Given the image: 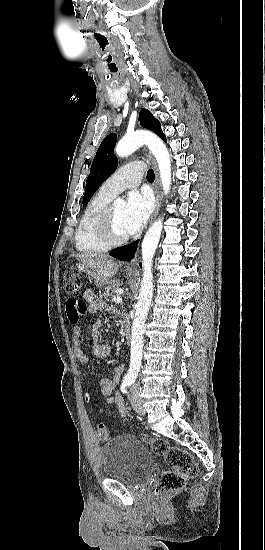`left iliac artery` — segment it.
Here are the masks:
<instances>
[{
  "label": "left iliac artery",
  "mask_w": 265,
  "mask_h": 550,
  "mask_svg": "<svg viewBox=\"0 0 265 550\" xmlns=\"http://www.w3.org/2000/svg\"><path fill=\"white\" fill-rule=\"evenodd\" d=\"M132 383H133V381H130L129 384H124V383H122V385H121V391H122L123 393H127L125 387L131 385Z\"/></svg>",
  "instance_id": "obj_1"
}]
</instances>
